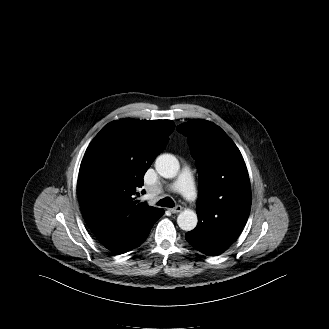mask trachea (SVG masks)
<instances>
[{"instance_id": "1", "label": "trachea", "mask_w": 329, "mask_h": 329, "mask_svg": "<svg viewBox=\"0 0 329 329\" xmlns=\"http://www.w3.org/2000/svg\"><path fill=\"white\" fill-rule=\"evenodd\" d=\"M157 205L162 206V207H170V208L175 206L174 201L170 197H165V198L161 199L157 203Z\"/></svg>"}]
</instances>
